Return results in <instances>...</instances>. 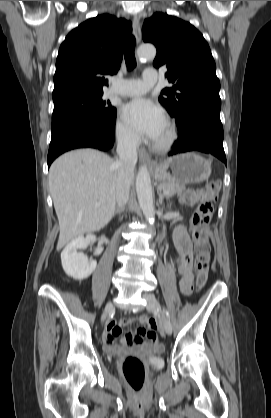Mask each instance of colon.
I'll return each instance as SVG.
<instances>
[{"instance_id": "colon-1", "label": "colon", "mask_w": 271, "mask_h": 418, "mask_svg": "<svg viewBox=\"0 0 271 418\" xmlns=\"http://www.w3.org/2000/svg\"><path fill=\"white\" fill-rule=\"evenodd\" d=\"M220 188L219 182H210L204 188L199 190H188L182 195L183 203L187 205L197 204L194 212L191 229L192 237L197 253L196 261V287L201 289L208 277L210 264V246L206 229L213 215V201L216 200ZM141 321L147 324L148 338L157 341L155 333L156 322L154 319L142 317ZM124 376L130 387L139 392L144 385L146 370L141 359L135 356H128L122 365Z\"/></svg>"}]
</instances>
